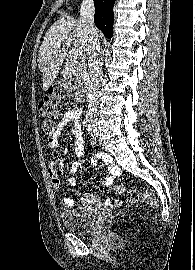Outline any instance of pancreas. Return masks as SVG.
Returning <instances> with one entry per match:
<instances>
[{
    "mask_svg": "<svg viewBox=\"0 0 195 270\" xmlns=\"http://www.w3.org/2000/svg\"><path fill=\"white\" fill-rule=\"evenodd\" d=\"M74 76H76L77 79L82 83H86L88 80L86 67L80 62L74 63Z\"/></svg>",
    "mask_w": 195,
    "mask_h": 270,
    "instance_id": "pancreas-1",
    "label": "pancreas"
}]
</instances>
